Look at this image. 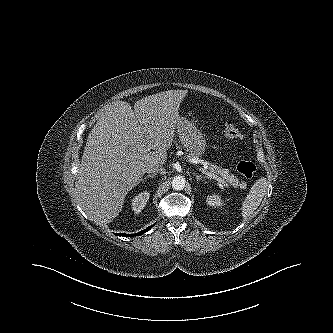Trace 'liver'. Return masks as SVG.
<instances>
[{
    "instance_id": "liver-1",
    "label": "liver",
    "mask_w": 333,
    "mask_h": 333,
    "mask_svg": "<svg viewBox=\"0 0 333 333\" xmlns=\"http://www.w3.org/2000/svg\"><path fill=\"white\" fill-rule=\"evenodd\" d=\"M187 90H168L134 104L110 106L88 135L75 198L91 221L110 223L149 166L165 164ZM152 150V151H150Z\"/></svg>"
}]
</instances>
